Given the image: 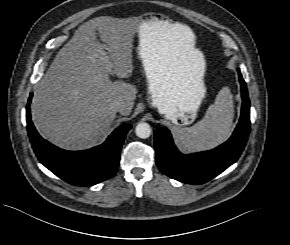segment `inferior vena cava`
<instances>
[{
    "mask_svg": "<svg viewBox=\"0 0 290 245\" xmlns=\"http://www.w3.org/2000/svg\"><path fill=\"white\" fill-rule=\"evenodd\" d=\"M112 109L115 112H121L124 109V104L121 101H115L112 104Z\"/></svg>",
    "mask_w": 290,
    "mask_h": 245,
    "instance_id": "602c4592",
    "label": "inferior vena cava"
}]
</instances>
